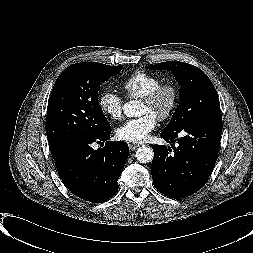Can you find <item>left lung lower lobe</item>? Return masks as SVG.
I'll return each mask as SVG.
<instances>
[{
	"instance_id": "0a47b994",
	"label": "left lung lower lobe",
	"mask_w": 253,
	"mask_h": 253,
	"mask_svg": "<svg viewBox=\"0 0 253 253\" xmlns=\"http://www.w3.org/2000/svg\"><path fill=\"white\" fill-rule=\"evenodd\" d=\"M222 122L189 123L172 134L161 132L171 148L152 145L154 158L151 173L155 188L172 198H185L196 193L207 182L217 160Z\"/></svg>"
}]
</instances>
